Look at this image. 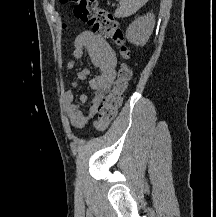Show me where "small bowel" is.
<instances>
[{
	"mask_svg": "<svg viewBox=\"0 0 216 217\" xmlns=\"http://www.w3.org/2000/svg\"><path fill=\"white\" fill-rule=\"evenodd\" d=\"M88 56L91 63L98 69L99 74L90 78V70L82 68L78 71L76 79L71 82L70 88L64 92L66 114L72 127L84 128L97 115L98 108L105 96L111 89L115 78L116 56L114 50L97 33L85 30L75 39V49L72 59L67 63V69L72 70L74 64ZM89 79V86L94 94L91 106L85 112L82 106L87 103L88 95L81 92L78 101L74 102V90L78 88L81 81Z\"/></svg>",
	"mask_w": 216,
	"mask_h": 217,
	"instance_id": "obj_1",
	"label": "small bowel"
}]
</instances>
